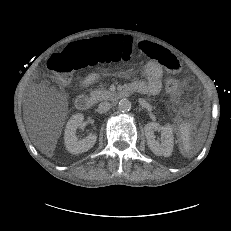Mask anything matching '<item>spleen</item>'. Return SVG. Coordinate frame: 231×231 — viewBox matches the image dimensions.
<instances>
[{
    "label": "spleen",
    "mask_w": 231,
    "mask_h": 231,
    "mask_svg": "<svg viewBox=\"0 0 231 231\" xmlns=\"http://www.w3.org/2000/svg\"><path fill=\"white\" fill-rule=\"evenodd\" d=\"M191 129L192 126L189 122L182 123L179 126L180 140L182 142V150L186 153H188L191 149V141H190Z\"/></svg>",
    "instance_id": "obj_1"
}]
</instances>
